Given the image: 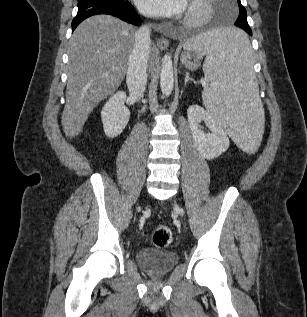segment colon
Returning <instances> with one entry per match:
<instances>
[{
  "mask_svg": "<svg viewBox=\"0 0 307 317\" xmlns=\"http://www.w3.org/2000/svg\"><path fill=\"white\" fill-rule=\"evenodd\" d=\"M173 239L171 229L166 225H160L155 228L152 234L153 245L157 248L168 247Z\"/></svg>",
  "mask_w": 307,
  "mask_h": 317,
  "instance_id": "colon-1",
  "label": "colon"
}]
</instances>
